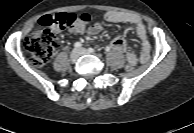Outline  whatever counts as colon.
<instances>
[{
    "label": "colon",
    "instance_id": "1",
    "mask_svg": "<svg viewBox=\"0 0 194 133\" xmlns=\"http://www.w3.org/2000/svg\"><path fill=\"white\" fill-rule=\"evenodd\" d=\"M90 20L91 16L87 13H57L42 17L39 21L41 27L24 41L30 62L36 67L46 65L58 45L60 33L65 29L80 32ZM133 67L132 64L127 65L128 70Z\"/></svg>",
    "mask_w": 194,
    "mask_h": 133
}]
</instances>
